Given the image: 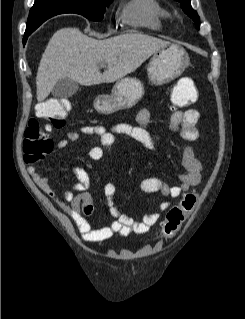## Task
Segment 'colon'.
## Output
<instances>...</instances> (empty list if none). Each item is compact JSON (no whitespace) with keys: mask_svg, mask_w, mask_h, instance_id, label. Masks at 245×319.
<instances>
[{"mask_svg":"<svg viewBox=\"0 0 245 319\" xmlns=\"http://www.w3.org/2000/svg\"><path fill=\"white\" fill-rule=\"evenodd\" d=\"M173 103L176 107H184L189 100L179 90L173 91ZM71 108L66 98H53L42 102L37 111L39 115L49 121L42 127L36 118L29 120L24 132L23 152L25 163L32 165L41 161L53 150L50 132L53 128L64 125L66 116ZM199 200L197 192L186 194L180 202L170 208L163 221L162 231L165 236L171 237L180 229L188 215L195 209Z\"/></svg>","mask_w":245,"mask_h":319,"instance_id":"5ec220e1","label":"colon"}]
</instances>
